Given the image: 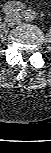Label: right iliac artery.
<instances>
[{
	"label": "right iliac artery",
	"mask_w": 51,
	"mask_h": 153,
	"mask_svg": "<svg viewBox=\"0 0 51 153\" xmlns=\"http://www.w3.org/2000/svg\"><path fill=\"white\" fill-rule=\"evenodd\" d=\"M24 8V5L21 2L11 1L7 2L2 8V12L6 15H9L13 12L21 11Z\"/></svg>",
	"instance_id": "obj_1"
}]
</instances>
